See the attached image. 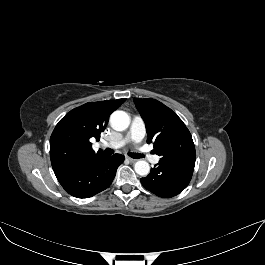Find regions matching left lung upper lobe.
Wrapping results in <instances>:
<instances>
[{
  "label": "left lung upper lobe",
  "instance_id": "5c2ea615",
  "mask_svg": "<svg viewBox=\"0 0 265 265\" xmlns=\"http://www.w3.org/2000/svg\"><path fill=\"white\" fill-rule=\"evenodd\" d=\"M134 103L145 122L147 142H153L161 156L159 162H195L192 136L173 110L150 98H134Z\"/></svg>",
  "mask_w": 265,
  "mask_h": 265
}]
</instances>
